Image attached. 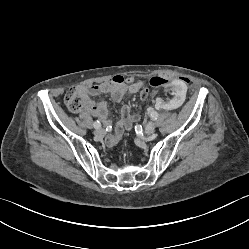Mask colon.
<instances>
[{
  "instance_id": "5ec220e1",
  "label": "colon",
  "mask_w": 249,
  "mask_h": 249,
  "mask_svg": "<svg viewBox=\"0 0 249 249\" xmlns=\"http://www.w3.org/2000/svg\"><path fill=\"white\" fill-rule=\"evenodd\" d=\"M188 81V80H187ZM167 82V79L162 76H154L150 80V85L152 87H159L164 85ZM148 91L145 90L141 92L140 98L143 100L147 97ZM64 103L67 106L68 110L72 113H79L87 104L84 95L78 89H70L66 92L64 96Z\"/></svg>"
}]
</instances>
